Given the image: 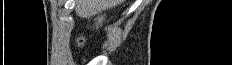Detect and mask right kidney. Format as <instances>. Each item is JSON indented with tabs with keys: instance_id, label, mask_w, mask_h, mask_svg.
I'll use <instances>...</instances> for the list:
<instances>
[{
	"instance_id": "obj_1",
	"label": "right kidney",
	"mask_w": 232,
	"mask_h": 65,
	"mask_svg": "<svg viewBox=\"0 0 232 65\" xmlns=\"http://www.w3.org/2000/svg\"><path fill=\"white\" fill-rule=\"evenodd\" d=\"M104 19H105L104 15L95 19L96 28L102 26V22L104 21Z\"/></svg>"
}]
</instances>
